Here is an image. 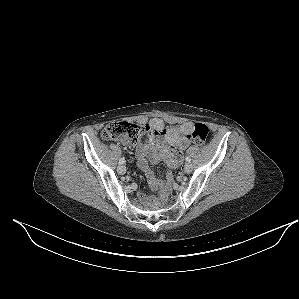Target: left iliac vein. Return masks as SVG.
Returning a JSON list of instances; mask_svg holds the SVG:
<instances>
[{
    "instance_id": "4c4485c4",
    "label": "left iliac vein",
    "mask_w": 299,
    "mask_h": 299,
    "mask_svg": "<svg viewBox=\"0 0 299 299\" xmlns=\"http://www.w3.org/2000/svg\"><path fill=\"white\" fill-rule=\"evenodd\" d=\"M192 164L191 163H186L185 164V166H184V171L186 172V173H190L191 171H192Z\"/></svg>"
}]
</instances>
